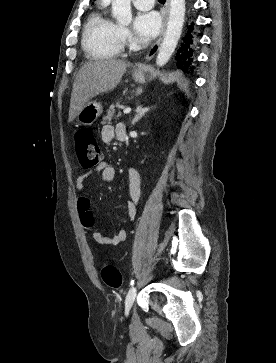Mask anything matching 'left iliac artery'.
Listing matches in <instances>:
<instances>
[{"label":"left iliac artery","instance_id":"44dca946","mask_svg":"<svg viewBox=\"0 0 276 363\" xmlns=\"http://www.w3.org/2000/svg\"><path fill=\"white\" fill-rule=\"evenodd\" d=\"M133 284H134V280L131 281V285H133Z\"/></svg>","mask_w":276,"mask_h":363}]
</instances>
